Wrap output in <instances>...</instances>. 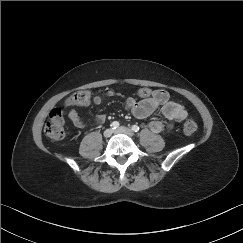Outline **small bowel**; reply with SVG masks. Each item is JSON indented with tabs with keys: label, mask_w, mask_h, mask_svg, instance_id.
<instances>
[{
	"label": "small bowel",
	"mask_w": 243,
	"mask_h": 243,
	"mask_svg": "<svg viewBox=\"0 0 243 243\" xmlns=\"http://www.w3.org/2000/svg\"><path fill=\"white\" fill-rule=\"evenodd\" d=\"M113 94V91H108L105 95H96L93 98V103L99 105L106 97H110ZM139 96L141 98L140 100L130 97L125 102L126 109L138 119L147 118L159 108L162 110L163 115L170 121L181 123L188 116L185 107L178 102L171 101L170 95L166 90L157 89L151 91L148 88H141L139 90ZM69 118L76 128H86V123L75 109L70 111ZM105 120L106 116L104 114H98L96 116V123L101 124ZM172 127V123L165 125L160 120H152L150 122V129L155 133H159L164 129H171Z\"/></svg>",
	"instance_id": "1"
}]
</instances>
